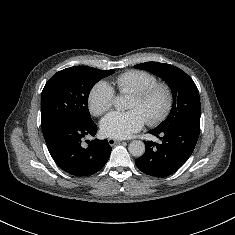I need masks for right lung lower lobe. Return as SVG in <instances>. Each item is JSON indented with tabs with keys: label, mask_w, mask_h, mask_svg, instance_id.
Returning a JSON list of instances; mask_svg holds the SVG:
<instances>
[{
	"label": "right lung lower lobe",
	"mask_w": 235,
	"mask_h": 235,
	"mask_svg": "<svg viewBox=\"0 0 235 235\" xmlns=\"http://www.w3.org/2000/svg\"><path fill=\"white\" fill-rule=\"evenodd\" d=\"M96 131L94 122H65L52 128L44 138L50 155L62 170L75 176H90L106 164L112 150L107 140L95 139L87 148L81 146V139L95 136Z\"/></svg>",
	"instance_id": "98d812e1"
}]
</instances>
